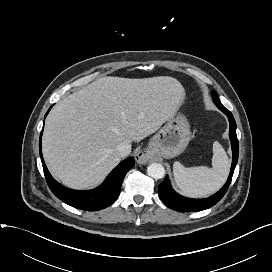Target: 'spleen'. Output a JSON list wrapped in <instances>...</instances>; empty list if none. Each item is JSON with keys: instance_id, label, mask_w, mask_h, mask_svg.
<instances>
[{"instance_id": "3e777b00", "label": "spleen", "mask_w": 272, "mask_h": 272, "mask_svg": "<svg viewBox=\"0 0 272 272\" xmlns=\"http://www.w3.org/2000/svg\"><path fill=\"white\" fill-rule=\"evenodd\" d=\"M229 170V158L218 141L213 143L212 168H186L179 162L173 164L176 185L183 194L194 198L206 197L219 190L225 183Z\"/></svg>"}]
</instances>
